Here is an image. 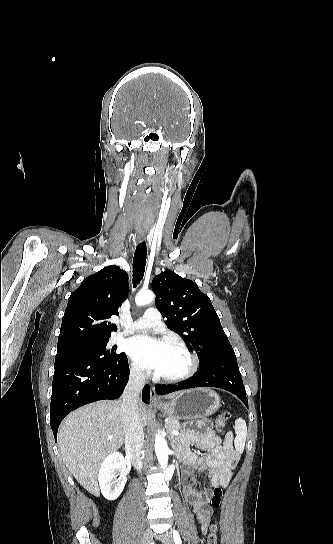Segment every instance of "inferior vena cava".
Masks as SVG:
<instances>
[{
	"label": "inferior vena cava",
	"instance_id": "obj_1",
	"mask_svg": "<svg viewBox=\"0 0 333 544\" xmlns=\"http://www.w3.org/2000/svg\"><path fill=\"white\" fill-rule=\"evenodd\" d=\"M146 376L140 367H133L121 397L120 411L125 428V451L135 465L141 464L144 443L143 425L139 415V395ZM140 470V469H139Z\"/></svg>",
	"mask_w": 333,
	"mask_h": 544
}]
</instances>
